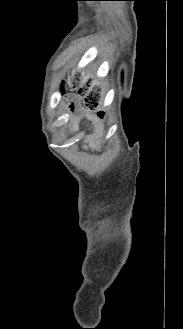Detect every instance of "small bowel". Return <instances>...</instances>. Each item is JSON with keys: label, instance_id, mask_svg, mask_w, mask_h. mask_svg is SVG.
<instances>
[{"label": "small bowel", "instance_id": "c3829d8e", "mask_svg": "<svg viewBox=\"0 0 183 329\" xmlns=\"http://www.w3.org/2000/svg\"><path fill=\"white\" fill-rule=\"evenodd\" d=\"M72 128H73V126H72ZM89 146H90V147H95V146H96V144H95V142H94V141H91V142L89 143Z\"/></svg>", "mask_w": 183, "mask_h": 329}]
</instances>
